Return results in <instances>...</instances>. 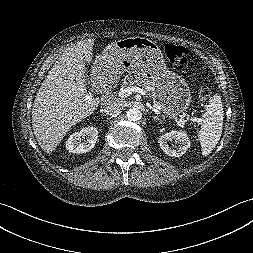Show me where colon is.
<instances>
[{"label": "colon", "instance_id": "5ec220e1", "mask_svg": "<svg viewBox=\"0 0 253 253\" xmlns=\"http://www.w3.org/2000/svg\"><path fill=\"white\" fill-rule=\"evenodd\" d=\"M163 53L165 58L174 65H184L189 59V50L184 46L166 44ZM198 94L201 99H206L210 95V90L207 86H201Z\"/></svg>", "mask_w": 253, "mask_h": 253}]
</instances>
